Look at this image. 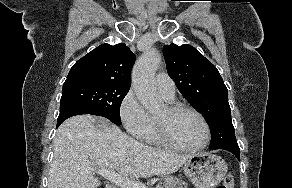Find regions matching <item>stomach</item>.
Masks as SVG:
<instances>
[{
  "label": "stomach",
  "instance_id": "stomach-1",
  "mask_svg": "<svg viewBox=\"0 0 292 188\" xmlns=\"http://www.w3.org/2000/svg\"><path fill=\"white\" fill-rule=\"evenodd\" d=\"M225 160L210 152H199L184 163L183 171L196 188H214L227 173Z\"/></svg>",
  "mask_w": 292,
  "mask_h": 188
}]
</instances>
